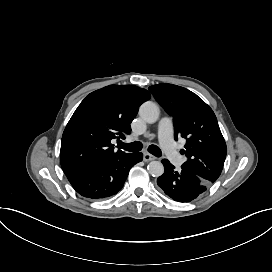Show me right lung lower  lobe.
<instances>
[{"mask_svg":"<svg viewBox=\"0 0 272 272\" xmlns=\"http://www.w3.org/2000/svg\"><path fill=\"white\" fill-rule=\"evenodd\" d=\"M142 158V153H125L109 162L76 171L67 178L81 196L104 199L122 189L130 169Z\"/></svg>","mask_w":272,"mask_h":272,"instance_id":"right-lung-lower-lobe-1","label":"right lung lower lobe"}]
</instances>
